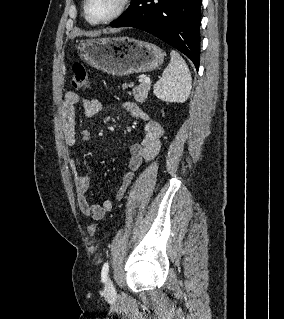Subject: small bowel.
<instances>
[{"label":"small bowel","instance_id":"c3829d8e","mask_svg":"<svg viewBox=\"0 0 284 319\" xmlns=\"http://www.w3.org/2000/svg\"><path fill=\"white\" fill-rule=\"evenodd\" d=\"M80 99L76 92L67 91L61 106L60 119L61 128L65 142L69 146L77 143L76 135V106ZM84 114L87 117L97 115L102 111V104L97 99H84L82 102ZM124 109L134 118L144 121V133L141 142L131 144L128 148L127 170L122 177V183L116 192V199L121 200L137 170L142 164L151 161L160 150L161 138L164 134L163 127L154 119L150 118L141 108L134 103H124ZM72 171L77 203L80 211L93 220H101L107 213L113 210V202L105 200L103 203H93L87 196L91 179L87 175H82L77 169L75 162L70 163Z\"/></svg>","mask_w":284,"mask_h":319}]
</instances>
